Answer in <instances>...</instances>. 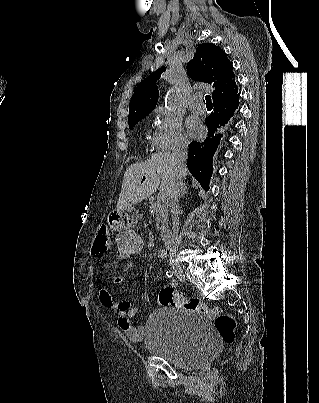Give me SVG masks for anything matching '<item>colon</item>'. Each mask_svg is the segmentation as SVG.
<instances>
[{
	"label": "colon",
	"instance_id": "obj_1",
	"mask_svg": "<svg viewBox=\"0 0 319 403\" xmlns=\"http://www.w3.org/2000/svg\"><path fill=\"white\" fill-rule=\"evenodd\" d=\"M144 234L127 232L115 235V252L119 254L120 268H133L134 260L144 254ZM120 288V285H117ZM158 302L164 307H175L202 314L214 321L215 329L224 343L235 340V317L221 308H209L198 299H187L184 294L168 287L159 292Z\"/></svg>",
	"mask_w": 319,
	"mask_h": 403
}]
</instances>
